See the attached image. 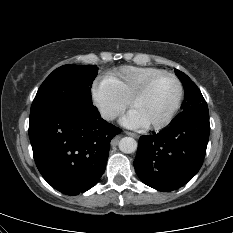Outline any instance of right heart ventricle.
Masks as SVG:
<instances>
[{
  "label": "right heart ventricle",
  "instance_id": "obj_1",
  "mask_svg": "<svg viewBox=\"0 0 233 233\" xmlns=\"http://www.w3.org/2000/svg\"><path fill=\"white\" fill-rule=\"evenodd\" d=\"M162 71L154 67L125 66L106 75L103 83L127 103L142 84Z\"/></svg>",
  "mask_w": 233,
  "mask_h": 233
}]
</instances>
